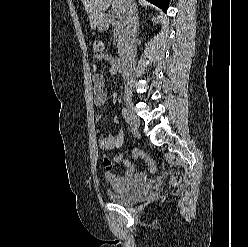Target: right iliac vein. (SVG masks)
Instances as JSON below:
<instances>
[{"mask_svg": "<svg viewBox=\"0 0 248 247\" xmlns=\"http://www.w3.org/2000/svg\"><path fill=\"white\" fill-rule=\"evenodd\" d=\"M125 103H126V106L128 108L129 115H130L131 125H132V128H133V131L136 134H138L139 120H138L137 116L134 113L132 99L130 97H126L125 98Z\"/></svg>", "mask_w": 248, "mask_h": 247, "instance_id": "obj_1", "label": "right iliac vein"}]
</instances>
